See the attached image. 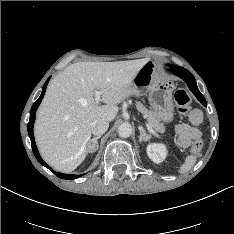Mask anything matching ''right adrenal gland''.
Returning <instances> with one entry per match:
<instances>
[{"mask_svg":"<svg viewBox=\"0 0 234 234\" xmlns=\"http://www.w3.org/2000/svg\"><path fill=\"white\" fill-rule=\"evenodd\" d=\"M100 137H101V136H96V137H94L93 139H91V140L89 141V144H90L91 142L94 143L95 150L98 148V142H97V140H98ZM93 151H94V150L90 148V152H93Z\"/></svg>","mask_w":234,"mask_h":234,"instance_id":"1","label":"right adrenal gland"}]
</instances>
